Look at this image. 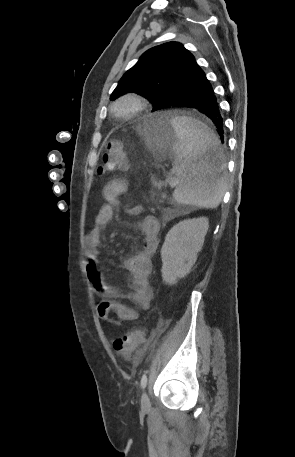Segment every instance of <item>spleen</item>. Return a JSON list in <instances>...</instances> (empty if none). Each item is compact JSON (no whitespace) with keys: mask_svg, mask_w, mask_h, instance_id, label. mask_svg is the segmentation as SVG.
Returning a JSON list of instances; mask_svg holds the SVG:
<instances>
[{"mask_svg":"<svg viewBox=\"0 0 295 457\" xmlns=\"http://www.w3.org/2000/svg\"><path fill=\"white\" fill-rule=\"evenodd\" d=\"M171 121L178 137V143L173 146L174 200L199 208H217L226 191V178L219 175L225 164L218 137L192 117L176 116ZM208 151L214 152V163L203 157Z\"/></svg>","mask_w":295,"mask_h":457,"instance_id":"obj_1","label":"spleen"}]
</instances>
